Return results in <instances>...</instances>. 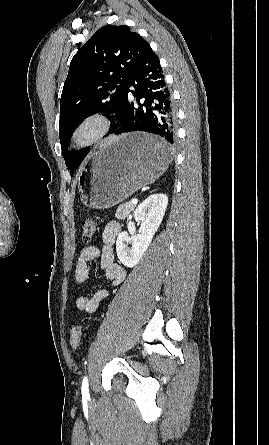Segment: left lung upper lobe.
<instances>
[{
  "instance_id": "left-lung-upper-lobe-1",
  "label": "left lung upper lobe",
  "mask_w": 269,
  "mask_h": 445,
  "mask_svg": "<svg viewBox=\"0 0 269 445\" xmlns=\"http://www.w3.org/2000/svg\"><path fill=\"white\" fill-rule=\"evenodd\" d=\"M148 46L128 26L106 25L72 58L62 90L59 122L62 155L71 175L89 151L67 150L74 129L99 111L121 118L128 81Z\"/></svg>"
}]
</instances>
